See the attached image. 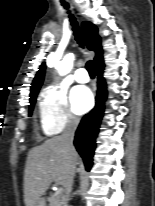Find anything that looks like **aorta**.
Masks as SVG:
<instances>
[{"label": "aorta", "instance_id": "762f6f07", "mask_svg": "<svg viewBox=\"0 0 155 206\" xmlns=\"http://www.w3.org/2000/svg\"><path fill=\"white\" fill-rule=\"evenodd\" d=\"M74 56L68 54L64 59L56 65V69L60 75H66L73 67Z\"/></svg>", "mask_w": 155, "mask_h": 206}]
</instances>
